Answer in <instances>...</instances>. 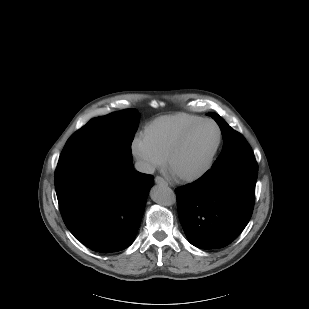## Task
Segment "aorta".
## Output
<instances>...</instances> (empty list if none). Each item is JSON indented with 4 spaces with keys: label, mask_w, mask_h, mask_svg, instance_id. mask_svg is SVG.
<instances>
[{
    "label": "aorta",
    "mask_w": 309,
    "mask_h": 309,
    "mask_svg": "<svg viewBox=\"0 0 309 309\" xmlns=\"http://www.w3.org/2000/svg\"><path fill=\"white\" fill-rule=\"evenodd\" d=\"M151 199L160 205L171 206L176 202L174 191L166 184H159L152 187L150 191Z\"/></svg>",
    "instance_id": "aorta-1"
}]
</instances>
